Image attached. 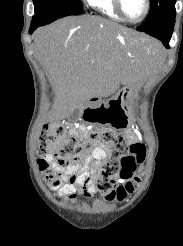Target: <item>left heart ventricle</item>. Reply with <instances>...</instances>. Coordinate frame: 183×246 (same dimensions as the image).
<instances>
[{"label":"left heart ventricle","mask_w":183,"mask_h":246,"mask_svg":"<svg viewBox=\"0 0 183 246\" xmlns=\"http://www.w3.org/2000/svg\"><path fill=\"white\" fill-rule=\"evenodd\" d=\"M123 7L126 15L132 19H139L144 13V0H123Z\"/></svg>","instance_id":"left-heart-ventricle-1"}]
</instances>
